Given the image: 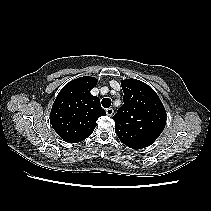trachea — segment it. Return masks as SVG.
<instances>
[{
    "mask_svg": "<svg viewBox=\"0 0 211 211\" xmlns=\"http://www.w3.org/2000/svg\"><path fill=\"white\" fill-rule=\"evenodd\" d=\"M101 103L104 108H109L111 106L112 101L109 98H104L102 99Z\"/></svg>",
    "mask_w": 211,
    "mask_h": 211,
    "instance_id": "3493384b",
    "label": "trachea"
}]
</instances>
